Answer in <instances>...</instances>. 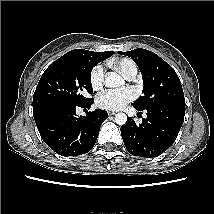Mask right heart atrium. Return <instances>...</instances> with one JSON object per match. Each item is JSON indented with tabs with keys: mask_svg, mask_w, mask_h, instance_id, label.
Segmentation results:
<instances>
[{
	"mask_svg": "<svg viewBox=\"0 0 214 214\" xmlns=\"http://www.w3.org/2000/svg\"><path fill=\"white\" fill-rule=\"evenodd\" d=\"M105 70L102 64L95 65L90 72V84L94 90H99L104 83Z\"/></svg>",
	"mask_w": 214,
	"mask_h": 214,
	"instance_id": "d8ad5b80",
	"label": "right heart atrium"
}]
</instances>
